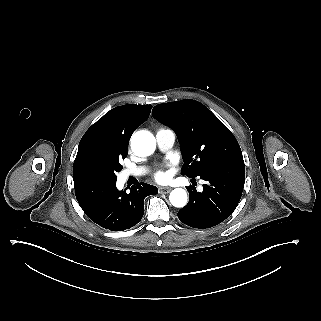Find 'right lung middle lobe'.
I'll list each match as a JSON object with an SVG mask.
<instances>
[{
    "label": "right lung middle lobe",
    "instance_id": "dd1d6c3e",
    "mask_svg": "<svg viewBox=\"0 0 321 321\" xmlns=\"http://www.w3.org/2000/svg\"><path fill=\"white\" fill-rule=\"evenodd\" d=\"M127 154L128 145H112L102 134H91L82 137L79 143L73 172L116 180V172L123 168L120 161L126 158Z\"/></svg>",
    "mask_w": 321,
    "mask_h": 321
}]
</instances>
